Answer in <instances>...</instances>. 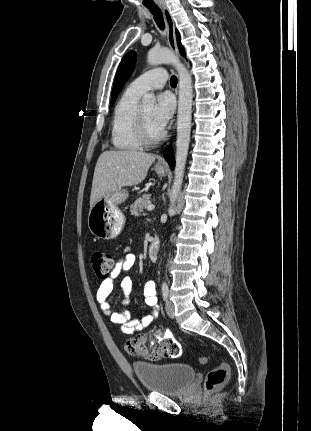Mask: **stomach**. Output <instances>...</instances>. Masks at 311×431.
Segmentation results:
<instances>
[{"label": "stomach", "mask_w": 311, "mask_h": 431, "mask_svg": "<svg viewBox=\"0 0 311 431\" xmlns=\"http://www.w3.org/2000/svg\"><path fill=\"white\" fill-rule=\"evenodd\" d=\"M157 176L164 178L166 176L165 168H154ZM129 198L128 190L120 188L115 192H109L102 198H99L88 214V227L96 237L99 239H114L120 235L126 221L122 210H120V204L126 202Z\"/></svg>", "instance_id": "0dacf381"}]
</instances>
